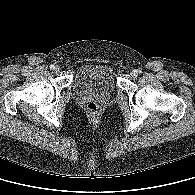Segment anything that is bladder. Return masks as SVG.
<instances>
[{"instance_id":"obj_1","label":"bladder","mask_w":195,"mask_h":195,"mask_svg":"<svg viewBox=\"0 0 195 195\" xmlns=\"http://www.w3.org/2000/svg\"><path fill=\"white\" fill-rule=\"evenodd\" d=\"M73 86L80 94L109 95L116 89L114 69L105 63L83 64L75 74Z\"/></svg>"}]
</instances>
